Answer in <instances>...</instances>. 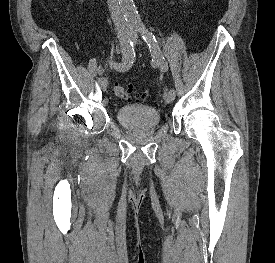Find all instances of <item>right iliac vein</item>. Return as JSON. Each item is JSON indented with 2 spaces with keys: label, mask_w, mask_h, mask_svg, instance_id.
I'll list each match as a JSON object with an SVG mask.
<instances>
[{
  "label": "right iliac vein",
  "mask_w": 275,
  "mask_h": 263,
  "mask_svg": "<svg viewBox=\"0 0 275 263\" xmlns=\"http://www.w3.org/2000/svg\"><path fill=\"white\" fill-rule=\"evenodd\" d=\"M127 43H128V40H127L126 38H122V39L120 40L121 48L123 49V48L127 45ZM98 83H99L101 89H102L103 91H105L106 88H107V80H106V78H103V77L99 78V79H98Z\"/></svg>",
  "instance_id": "63e3f726"
}]
</instances>
